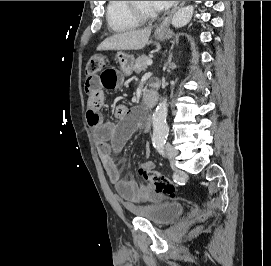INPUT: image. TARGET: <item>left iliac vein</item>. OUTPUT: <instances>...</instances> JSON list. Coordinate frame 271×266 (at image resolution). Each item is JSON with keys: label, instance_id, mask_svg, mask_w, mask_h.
<instances>
[{"label": "left iliac vein", "instance_id": "obj_1", "mask_svg": "<svg viewBox=\"0 0 271 266\" xmlns=\"http://www.w3.org/2000/svg\"><path fill=\"white\" fill-rule=\"evenodd\" d=\"M166 153L170 163L173 165L178 155V151L172 145H168L166 148Z\"/></svg>", "mask_w": 271, "mask_h": 266}]
</instances>
